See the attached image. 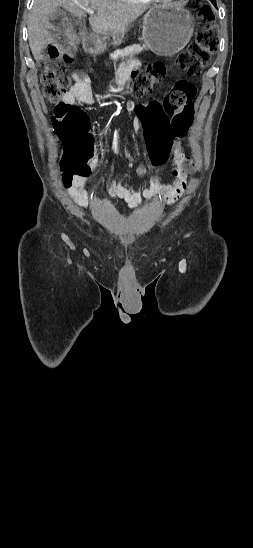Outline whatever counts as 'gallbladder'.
<instances>
[{
    "instance_id": "1",
    "label": "gallbladder",
    "mask_w": 253,
    "mask_h": 548,
    "mask_svg": "<svg viewBox=\"0 0 253 548\" xmlns=\"http://www.w3.org/2000/svg\"><path fill=\"white\" fill-rule=\"evenodd\" d=\"M65 15H66V12L58 8L54 11L51 18L55 19V18L62 17V16H65Z\"/></svg>"
}]
</instances>
